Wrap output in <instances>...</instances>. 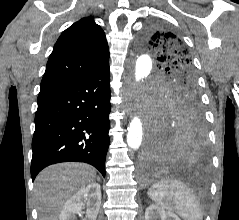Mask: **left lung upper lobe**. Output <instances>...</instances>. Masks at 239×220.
<instances>
[{
    "label": "left lung upper lobe",
    "mask_w": 239,
    "mask_h": 220,
    "mask_svg": "<svg viewBox=\"0 0 239 220\" xmlns=\"http://www.w3.org/2000/svg\"><path fill=\"white\" fill-rule=\"evenodd\" d=\"M141 44L155 54L158 66L170 75V82L160 96V109L202 112L193 60L180 36L166 27L151 24L141 36Z\"/></svg>",
    "instance_id": "1"
}]
</instances>
